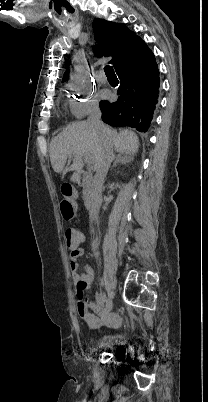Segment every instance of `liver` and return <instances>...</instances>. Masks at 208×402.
Listing matches in <instances>:
<instances>
[{"instance_id":"obj_1","label":"liver","mask_w":208,"mask_h":402,"mask_svg":"<svg viewBox=\"0 0 208 402\" xmlns=\"http://www.w3.org/2000/svg\"><path fill=\"white\" fill-rule=\"evenodd\" d=\"M106 132L90 126L87 122H75L62 130L61 134L52 138L49 146L51 166L57 174H66L70 170H82L84 164L81 156L90 154L92 164H96L97 156L102 148V140L109 138L112 146L121 154L134 156L138 152V136L131 130H123L117 134L116 130H110L104 126ZM74 156V162L70 168H65L67 158Z\"/></svg>"}]
</instances>
